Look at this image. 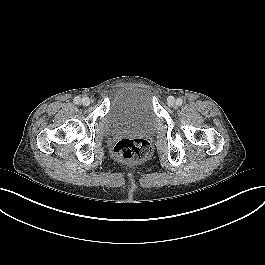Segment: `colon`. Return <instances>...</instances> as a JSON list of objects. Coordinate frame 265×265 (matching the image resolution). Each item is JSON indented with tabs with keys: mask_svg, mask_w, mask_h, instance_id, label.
Here are the masks:
<instances>
[{
	"mask_svg": "<svg viewBox=\"0 0 265 265\" xmlns=\"http://www.w3.org/2000/svg\"><path fill=\"white\" fill-rule=\"evenodd\" d=\"M113 151L122 161L140 162L150 157L152 147L144 138H122L115 143Z\"/></svg>",
	"mask_w": 265,
	"mask_h": 265,
	"instance_id": "5ec220e1",
	"label": "colon"
}]
</instances>
